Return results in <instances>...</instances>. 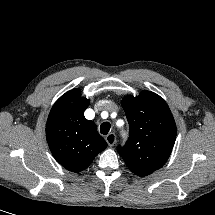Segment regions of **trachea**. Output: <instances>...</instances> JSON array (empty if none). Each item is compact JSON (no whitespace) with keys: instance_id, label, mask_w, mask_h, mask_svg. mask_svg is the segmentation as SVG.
I'll return each mask as SVG.
<instances>
[{"instance_id":"trachea-1","label":"trachea","mask_w":215,"mask_h":215,"mask_svg":"<svg viewBox=\"0 0 215 215\" xmlns=\"http://www.w3.org/2000/svg\"><path fill=\"white\" fill-rule=\"evenodd\" d=\"M110 127H111V125H110L109 122L102 123L101 126H100V132H101V134L107 135L108 132H109V130H110Z\"/></svg>"}]
</instances>
